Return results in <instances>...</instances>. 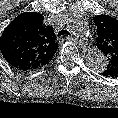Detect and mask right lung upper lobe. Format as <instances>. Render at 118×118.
<instances>
[{
  "label": "right lung upper lobe",
  "instance_id": "obj_1",
  "mask_svg": "<svg viewBox=\"0 0 118 118\" xmlns=\"http://www.w3.org/2000/svg\"><path fill=\"white\" fill-rule=\"evenodd\" d=\"M43 16L24 12L16 17L0 37V50L6 61L19 70H35L48 64L58 45L51 26Z\"/></svg>",
  "mask_w": 118,
  "mask_h": 118
}]
</instances>
